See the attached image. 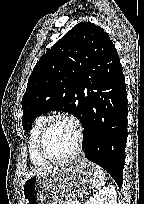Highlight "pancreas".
Instances as JSON below:
<instances>
[{
  "instance_id": "1",
  "label": "pancreas",
  "mask_w": 144,
  "mask_h": 204,
  "mask_svg": "<svg viewBox=\"0 0 144 204\" xmlns=\"http://www.w3.org/2000/svg\"><path fill=\"white\" fill-rule=\"evenodd\" d=\"M66 204H75V201H73L72 199L68 200Z\"/></svg>"
}]
</instances>
